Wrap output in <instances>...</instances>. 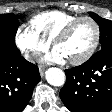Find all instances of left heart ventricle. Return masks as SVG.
I'll use <instances>...</instances> for the list:
<instances>
[{
  "label": "left heart ventricle",
  "mask_w": 112,
  "mask_h": 112,
  "mask_svg": "<svg viewBox=\"0 0 112 112\" xmlns=\"http://www.w3.org/2000/svg\"><path fill=\"white\" fill-rule=\"evenodd\" d=\"M94 39V28L89 21L78 23L68 37L55 46L65 60L81 57L90 47Z\"/></svg>",
  "instance_id": "left-heart-ventricle-1"
}]
</instances>
